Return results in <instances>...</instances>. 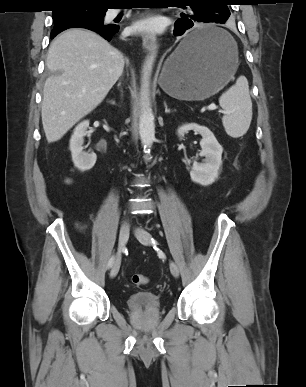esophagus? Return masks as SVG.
I'll return each mask as SVG.
<instances>
[{
  "label": "esophagus",
  "instance_id": "1",
  "mask_svg": "<svg viewBox=\"0 0 306 387\" xmlns=\"http://www.w3.org/2000/svg\"><path fill=\"white\" fill-rule=\"evenodd\" d=\"M142 43H143V48L146 50L153 48L156 43L155 35L153 33H143Z\"/></svg>",
  "mask_w": 306,
  "mask_h": 387
}]
</instances>
